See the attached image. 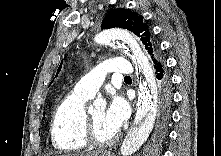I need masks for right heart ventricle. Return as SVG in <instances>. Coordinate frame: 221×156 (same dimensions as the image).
Listing matches in <instances>:
<instances>
[{"label":"right heart ventricle","mask_w":221,"mask_h":156,"mask_svg":"<svg viewBox=\"0 0 221 156\" xmlns=\"http://www.w3.org/2000/svg\"><path fill=\"white\" fill-rule=\"evenodd\" d=\"M90 98L74 89L55 109L51 123V142L56 150L77 152L88 145L83 139L82 125L85 105Z\"/></svg>","instance_id":"1"}]
</instances>
